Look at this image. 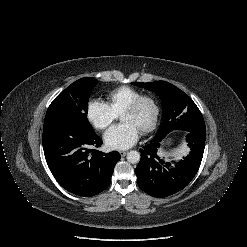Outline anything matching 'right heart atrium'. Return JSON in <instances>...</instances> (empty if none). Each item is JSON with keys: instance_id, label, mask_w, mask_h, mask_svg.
Wrapping results in <instances>:
<instances>
[{"instance_id": "obj_1", "label": "right heart atrium", "mask_w": 247, "mask_h": 247, "mask_svg": "<svg viewBox=\"0 0 247 247\" xmlns=\"http://www.w3.org/2000/svg\"><path fill=\"white\" fill-rule=\"evenodd\" d=\"M86 116L89 122L98 130L106 129L117 118V114L109 105L100 99H91L88 101Z\"/></svg>"}]
</instances>
